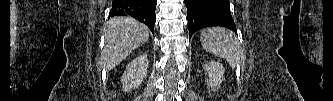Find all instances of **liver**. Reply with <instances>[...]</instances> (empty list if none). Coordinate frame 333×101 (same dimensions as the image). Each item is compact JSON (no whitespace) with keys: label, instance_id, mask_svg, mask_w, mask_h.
Returning <instances> with one entry per match:
<instances>
[{"label":"liver","instance_id":"1","mask_svg":"<svg viewBox=\"0 0 333 101\" xmlns=\"http://www.w3.org/2000/svg\"><path fill=\"white\" fill-rule=\"evenodd\" d=\"M148 39L149 29L136 19L124 16L110 19L102 53V63L106 70H112Z\"/></svg>","mask_w":333,"mask_h":101}]
</instances>
